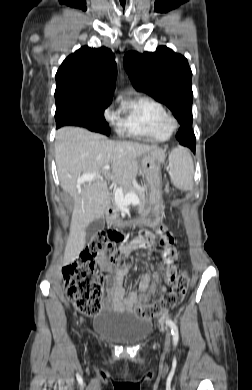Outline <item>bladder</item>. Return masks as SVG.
Returning <instances> with one entry per match:
<instances>
[{
    "instance_id": "1",
    "label": "bladder",
    "mask_w": 252,
    "mask_h": 390,
    "mask_svg": "<svg viewBox=\"0 0 252 390\" xmlns=\"http://www.w3.org/2000/svg\"><path fill=\"white\" fill-rule=\"evenodd\" d=\"M149 330L147 321L126 313H107L104 317H98L94 323L97 335L123 345L141 342Z\"/></svg>"
}]
</instances>
